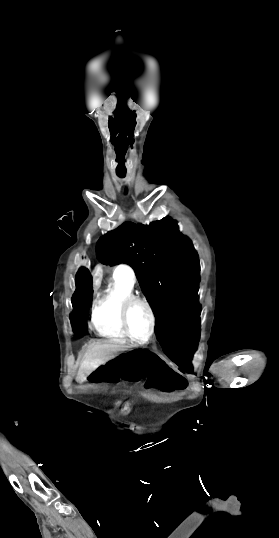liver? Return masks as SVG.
Listing matches in <instances>:
<instances>
[{
	"mask_svg": "<svg viewBox=\"0 0 279 538\" xmlns=\"http://www.w3.org/2000/svg\"><path fill=\"white\" fill-rule=\"evenodd\" d=\"M125 348L126 346L119 344V342H108V340H104L101 344H93L84 356L85 360H83L79 368L78 378L84 380L87 374H91L101 364H105L108 360L115 358L116 352H122Z\"/></svg>",
	"mask_w": 279,
	"mask_h": 538,
	"instance_id": "1",
	"label": "liver"
}]
</instances>
